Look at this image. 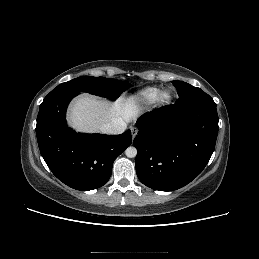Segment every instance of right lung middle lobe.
Returning a JSON list of instances; mask_svg holds the SVG:
<instances>
[{
	"mask_svg": "<svg viewBox=\"0 0 259 259\" xmlns=\"http://www.w3.org/2000/svg\"><path fill=\"white\" fill-rule=\"evenodd\" d=\"M129 87L130 83L124 81L104 77L81 76L68 82L61 83L53 89L45 99L61 93L79 94L80 92H86L115 100Z\"/></svg>",
	"mask_w": 259,
	"mask_h": 259,
	"instance_id": "1",
	"label": "right lung middle lobe"
}]
</instances>
